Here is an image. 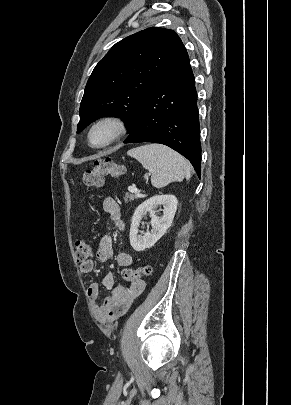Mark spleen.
I'll return each instance as SVG.
<instances>
[{
    "instance_id": "3e777b00",
    "label": "spleen",
    "mask_w": 291,
    "mask_h": 405,
    "mask_svg": "<svg viewBox=\"0 0 291 405\" xmlns=\"http://www.w3.org/2000/svg\"><path fill=\"white\" fill-rule=\"evenodd\" d=\"M152 173L151 183L157 188L191 177L190 164L180 154L161 144H146L128 151Z\"/></svg>"
}]
</instances>
